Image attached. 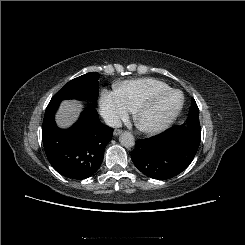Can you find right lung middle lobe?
I'll return each instance as SVG.
<instances>
[{
    "mask_svg": "<svg viewBox=\"0 0 245 245\" xmlns=\"http://www.w3.org/2000/svg\"><path fill=\"white\" fill-rule=\"evenodd\" d=\"M99 73L90 72L69 81L51 99L49 104L64 99L90 100L96 103L99 94Z\"/></svg>",
    "mask_w": 245,
    "mask_h": 245,
    "instance_id": "1",
    "label": "right lung middle lobe"
}]
</instances>
